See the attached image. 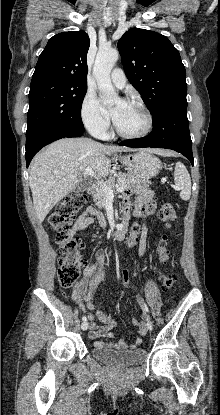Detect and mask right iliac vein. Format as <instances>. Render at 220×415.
<instances>
[{
    "mask_svg": "<svg viewBox=\"0 0 220 415\" xmlns=\"http://www.w3.org/2000/svg\"><path fill=\"white\" fill-rule=\"evenodd\" d=\"M88 327H89V323L88 322H83L82 324H81V329L83 330V331H85V330H87L88 329Z\"/></svg>",
    "mask_w": 220,
    "mask_h": 415,
    "instance_id": "right-iliac-vein-1",
    "label": "right iliac vein"
}]
</instances>
